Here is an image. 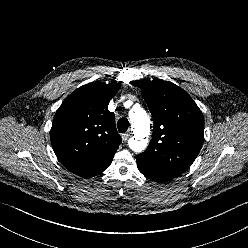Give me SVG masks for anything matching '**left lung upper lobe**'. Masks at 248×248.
Instances as JSON below:
<instances>
[{"instance_id": "1", "label": "left lung upper lobe", "mask_w": 248, "mask_h": 248, "mask_svg": "<svg viewBox=\"0 0 248 248\" xmlns=\"http://www.w3.org/2000/svg\"><path fill=\"white\" fill-rule=\"evenodd\" d=\"M141 93L154 127L146 151L137 155V165L149 177L166 182L196 159L204 141L203 115L190 95L171 82L144 81Z\"/></svg>"}]
</instances>
